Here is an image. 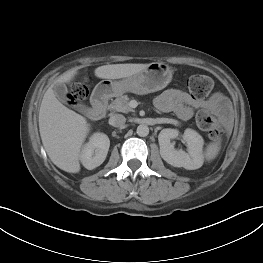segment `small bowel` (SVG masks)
Wrapping results in <instances>:
<instances>
[{
	"instance_id": "1",
	"label": "small bowel",
	"mask_w": 263,
	"mask_h": 263,
	"mask_svg": "<svg viewBox=\"0 0 263 263\" xmlns=\"http://www.w3.org/2000/svg\"><path fill=\"white\" fill-rule=\"evenodd\" d=\"M155 106L162 112L175 113L182 120L191 118L194 109L211 111L222 118H228L230 112L228 100L220 93H215L203 100L197 99L178 88H170L162 92L155 99Z\"/></svg>"
}]
</instances>
